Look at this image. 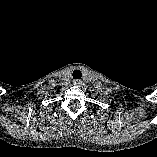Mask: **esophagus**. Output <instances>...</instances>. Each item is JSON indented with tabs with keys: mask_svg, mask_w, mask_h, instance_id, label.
<instances>
[{
	"mask_svg": "<svg viewBox=\"0 0 157 157\" xmlns=\"http://www.w3.org/2000/svg\"><path fill=\"white\" fill-rule=\"evenodd\" d=\"M81 83H82L81 80H78V79L73 80L74 85H81Z\"/></svg>",
	"mask_w": 157,
	"mask_h": 157,
	"instance_id": "1",
	"label": "esophagus"
}]
</instances>
